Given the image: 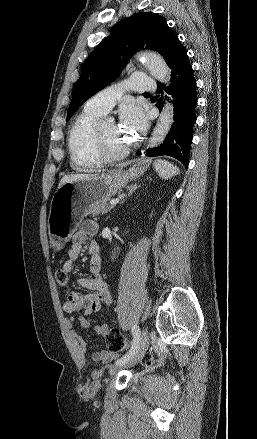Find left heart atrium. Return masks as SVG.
I'll list each match as a JSON object with an SVG mask.
<instances>
[{
  "label": "left heart atrium",
  "instance_id": "39dd6f15",
  "mask_svg": "<svg viewBox=\"0 0 257 439\" xmlns=\"http://www.w3.org/2000/svg\"><path fill=\"white\" fill-rule=\"evenodd\" d=\"M121 125L131 135H137L147 127V117L142 108L135 104L124 106L120 112Z\"/></svg>",
  "mask_w": 257,
  "mask_h": 439
}]
</instances>
